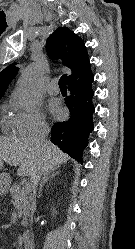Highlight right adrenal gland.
Segmentation results:
<instances>
[{"instance_id": "obj_1", "label": "right adrenal gland", "mask_w": 135, "mask_h": 249, "mask_svg": "<svg viewBox=\"0 0 135 249\" xmlns=\"http://www.w3.org/2000/svg\"><path fill=\"white\" fill-rule=\"evenodd\" d=\"M59 174V171H56L55 169L49 172H46L45 174H43L41 183H40V188L38 191V197L41 196V192H42V188L43 186L51 179L55 178L56 175Z\"/></svg>"}]
</instances>
